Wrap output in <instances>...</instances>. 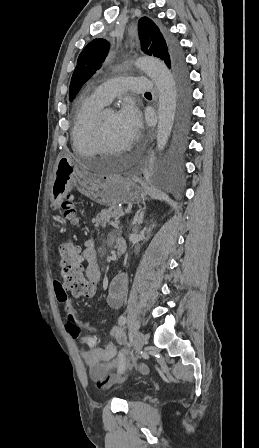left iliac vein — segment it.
<instances>
[{"label":"left iliac vein","instance_id":"left-iliac-vein-1","mask_svg":"<svg viewBox=\"0 0 259 448\" xmlns=\"http://www.w3.org/2000/svg\"><path fill=\"white\" fill-rule=\"evenodd\" d=\"M147 342V337L145 334H143L142 332H138L135 335V340H134V344H135V352L136 355L134 357V362L138 359L139 357V353L140 351L143 349L144 345Z\"/></svg>","mask_w":259,"mask_h":448}]
</instances>
